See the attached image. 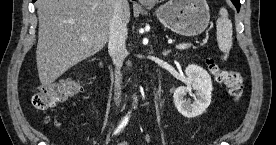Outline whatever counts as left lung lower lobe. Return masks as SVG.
I'll return each mask as SVG.
<instances>
[{
  "instance_id": "0a47b994",
  "label": "left lung lower lobe",
  "mask_w": 276,
  "mask_h": 145,
  "mask_svg": "<svg viewBox=\"0 0 276 145\" xmlns=\"http://www.w3.org/2000/svg\"><path fill=\"white\" fill-rule=\"evenodd\" d=\"M235 7L237 8V12L240 10V0H231Z\"/></svg>"
}]
</instances>
